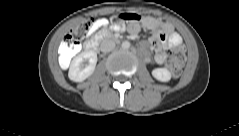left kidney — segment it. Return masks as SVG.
<instances>
[{
	"label": "left kidney",
	"instance_id": "1",
	"mask_svg": "<svg viewBox=\"0 0 239 136\" xmlns=\"http://www.w3.org/2000/svg\"><path fill=\"white\" fill-rule=\"evenodd\" d=\"M152 76L161 82H168L171 79V73L166 68H156L152 71Z\"/></svg>",
	"mask_w": 239,
	"mask_h": 136
}]
</instances>
